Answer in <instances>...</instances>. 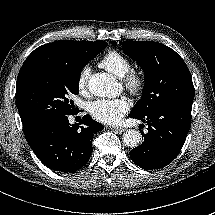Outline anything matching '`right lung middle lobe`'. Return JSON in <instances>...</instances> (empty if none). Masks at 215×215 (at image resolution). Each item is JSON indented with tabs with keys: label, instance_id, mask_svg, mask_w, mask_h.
Listing matches in <instances>:
<instances>
[{
	"label": "right lung middle lobe",
	"instance_id": "1",
	"mask_svg": "<svg viewBox=\"0 0 215 215\" xmlns=\"http://www.w3.org/2000/svg\"><path fill=\"white\" fill-rule=\"evenodd\" d=\"M107 45L99 40L77 49L64 60L16 86V105L23 128H31L49 118L73 114L76 110L68 97L79 92L80 72Z\"/></svg>",
	"mask_w": 215,
	"mask_h": 215
}]
</instances>
